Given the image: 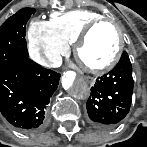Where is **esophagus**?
I'll list each match as a JSON object with an SVG mask.
<instances>
[{"instance_id": "obj_1", "label": "esophagus", "mask_w": 147, "mask_h": 147, "mask_svg": "<svg viewBox=\"0 0 147 147\" xmlns=\"http://www.w3.org/2000/svg\"><path fill=\"white\" fill-rule=\"evenodd\" d=\"M89 83L93 84L94 83V80L93 78H89V80H87Z\"/></svg>"}]
</instances>
